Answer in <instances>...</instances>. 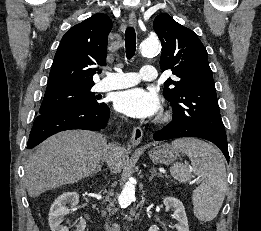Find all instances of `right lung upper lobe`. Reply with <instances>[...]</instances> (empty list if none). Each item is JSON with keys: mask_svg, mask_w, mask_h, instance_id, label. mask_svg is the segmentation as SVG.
Wrapping results in <instances>:
<instances>
[{"mask_svg": "<svg viewBox=\"0 0 261 231\" xmlns=\"http://www.w3.org/2000/svg\"><path fill=\"white\" fill-rule=\"evenodd\" d=\"M111 28L109 17L97 13L69 29L55 54L47 89L92 87L97 67L106 65Z\"/></svg>", "mask_w": 261, "mask_h": 231, "instance_id": "cb5924a9", "label": "right lung upper lobe"}]
</instances>
